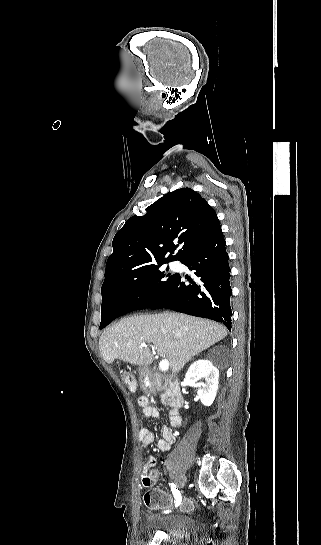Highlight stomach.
Here are the masks:
<instances>
[{
    "mask_svg": "<svg viewBox=\"0 0 321 545\" xmlns=\"http://www.w3.org/2000/svg\"><path fill=\"white\" fill-rule=\"evenodd\" d=\"M138 373H139V377H140V381H141V387L143 389V387H145L144 377H147V375H148V373H150V371H149L148 367H139Z\"/></svg>",
    "mask_w": 321,
    "mask_h": 545,
    "instance_id": "obj_1",
    "label": "stomach"
}]
</instances>
